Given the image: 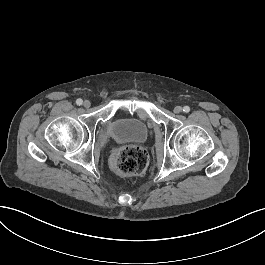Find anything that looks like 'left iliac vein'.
<instances>
[{
	"instance_id": "obj_1",
	"label": "left iliac vein",
	"mask_w": 265,
	"mask_h": 265,
	"mask_svg": "<svg viewBox=\"0 0 265 265\" xmlns=\"http://www.w3.org/2000/svg\"><path fill=\"white\" fill-rule=\"evenodd\" d=\"M174 112H175V113H180V112H182V107H181V106H175V107H174Z\"/></svg>"
}]
</instances>
